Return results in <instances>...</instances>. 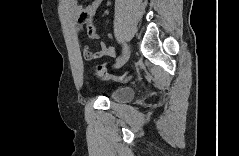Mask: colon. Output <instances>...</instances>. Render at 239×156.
<instances>
[{
    "label": "colon",
    "instance_id": "5ec220e1",
    "mask_svg": "<svg viewBox=\"0 0 239 156\" xmlns=\"http://www.w3.org/2000/svg\"><path fill=\"white\" fill-rule=\"evenodd\" d=\"M80 20L83 22H86L89 20V15L86 12H82L80 14ZM96 75L101 78V79H107V78H113V79H117L119 81L125 82L128 80V76L127 75H114L111 74L110 72H108V70L105 67H98L95 70Z\"/></svg>",
    "mask_w": 239,
    "mask_h": 156
}]
</instances>
